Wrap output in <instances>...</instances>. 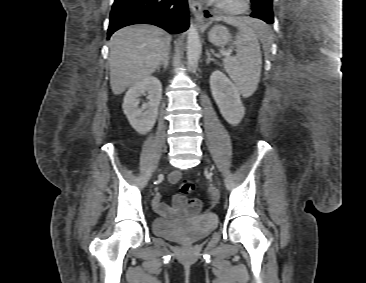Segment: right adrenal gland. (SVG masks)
I'll use <instances>...</instances> for the list:
<instances>
[{
    "label": "right adrenal gland",
    "instance_id": "obj_1",
    "mask_svg": "<svg viewBox=\"0 0 366 283\" xmlns=\"http://www.w3.org/2000/svg\"><path fill=\"white\" fill-rule=\"evenodd\" d=\"M170 54H171V51L169 50L168 53L162 59L159 66L157 67V71H159L162 66L164 67V69H167V67L169 65V60H170Z\"/></svg>",
    "mask_w": 366,
    "mask_h": 283
}]
</instances>
